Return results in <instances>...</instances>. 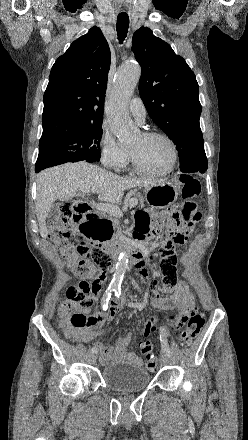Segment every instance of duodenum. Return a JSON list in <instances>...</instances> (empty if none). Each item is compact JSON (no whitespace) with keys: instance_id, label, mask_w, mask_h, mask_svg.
<instances>
[{"instance_id":"obj_1","label":"duodenum","mask_w":248,"mask_h":440,"mask_svg":"<svg viewBox=\"0 0 248 440\" xmlns=\"http://www.w3.org/2000/svg\"><path fill=\"white\" fill-rule=\"evenodd\" d=\"M77 205L83 211L85 227L92 228V221L95 218V215L90 213V204L87 202H81ZM140 242L141 238L134 235L132 240L128 242L112 246H104V249L107 254L111 255L115 259H117L120 254L127 253L130 259L137 265V267L140 268L143 266L144 257Z\"/></svg>"}]
</instances>
